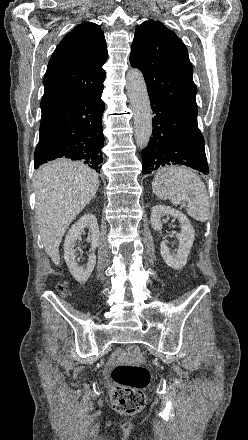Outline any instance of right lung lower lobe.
<instances>
[{"mask_svg": "<svg viewBox=\"0 0 248 440\" xmlns=\"http://www.w3.org/2000/svg\"><path fill=\"white\" fill-rule=\"evenodd\" d=\"M102 92L79 95L42 110L35 169L66 157L100 171L104 144L101 118L105 109Z\"/></svg>", "mask_w": 248, "mask_h": 440, "instance_id": "98d812e1", "label": "right lung lower lobe"}]
</instances>
